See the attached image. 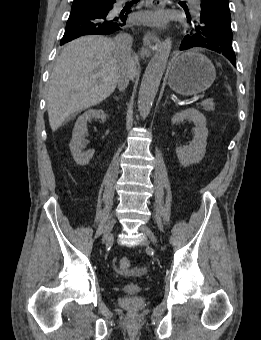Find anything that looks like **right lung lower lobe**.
Instances as JSON below:
<instances>
[{"label": "right lung lower lobe", "instance_id": "right-lung-lower-lobe-1", "mask_svg": "<svg viewBox=\"0 0 261 340\" xmlns=\"http://www.w3.org/2000/svg\"><path fill=\"white\" fill-rule=\"evenodd\" d=\"M115 2L116 0H74L61 42L67 43L82 35H107L119 30L126 24L131 10H114Z\"/></svg>", "mask_w": 261, "mask_h": 340}]
</instances>
